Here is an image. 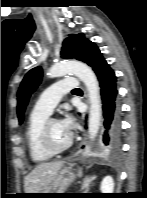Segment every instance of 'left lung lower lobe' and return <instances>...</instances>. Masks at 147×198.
Here are the masks:
<instances>
[{
    "label": "left lung lower lobe",
    "instance_id": "0a47b994",
    "mask_svg": "<svg viewBox=\"0 0 147 198\" xmlns=\"http://www.w3.org/2000/svg\"><path fill=\"white\" fill-rule=\"evenodd\" d=\"M85 63L93 68L100 83L105 128L104 154L107 158L114 159L120 155L121 150L120 107L117 101L116 76L94 43L87 52Z\"/></svg>",
    "mask_w": 147,
    "mask_h": 198
}]
</instances>
